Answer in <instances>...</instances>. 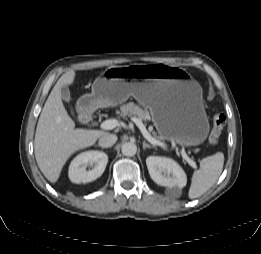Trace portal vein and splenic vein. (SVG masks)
Here are the masks:
<instances>
[{
	"mask_svg": "<svg viewBox=\"0 0 261 254\" xmlns=\"http://www.w3.org/2000/svg\"><path fill=\"white\" fill-rule=\"evenodd\" d=\"M132 121L136 124V126L139 128V130L141 131L142 135L144 136V138L150 142L153 145H158V146H164L163 143L157 141L155 138H153L149 132L147 131L146 127L144 126V124L142 123V121L136 117L132 118ZM118 120L116 119H108L103 121L100 124V128L103 130H112L114 128H116L118 126ZM182 157L184 160H186V162L193 167L194 169H197V165L196 162L194 160H192L184 150L180 151Z\"/></svg>",
	"mask_w": 261,
	"mask_h": 254,
	"instance_id": "portal-vein-and-splenic-vein-1",
	"label": "portal vein and splenic vein"
}]
</instances>
